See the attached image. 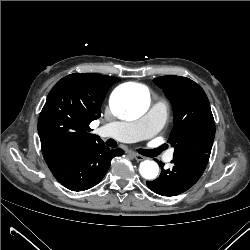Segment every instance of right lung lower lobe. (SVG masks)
<instances>
[{
	"instance_id": "obj_1",
	"label": "right lung lower lobe",
	"mask_w": 250,
	"mask_h": 250,
	"mask_svg": "<svg viewBox=\"0 0 250 250\" xmlns=\"http://www.w3.org/2000/svg\"><path fill=\"white\" fill-rule=\"evenodd\" d=\"M122 154L123 150H110L99 142L45 161L62 185L72 191H84L98 184L108 171L112 158Z\"/></svg>"
}]
</instances>
